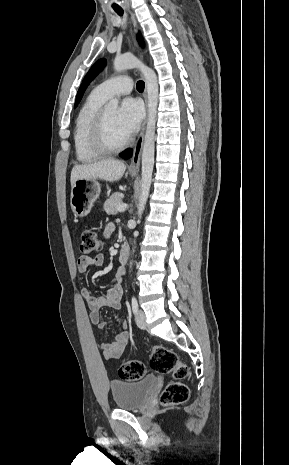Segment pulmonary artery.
<instances>
[{
  "mask_svg": "<svg viewBox=\"0 0 289 465\" xmlns=\"http://www.w3.org/2000/svg\"><path fill=\"white\" fill-rule=\"evenodd\" d=\"M133 89V80L131 77L121 75L110 78L96 88L98 93L104 98L109 99L115 95L128 94Z\"/></svg>",
  "mask_w": 289,
  "mask_h": 465,
  "instance_id": "e3ab8cb5",
  "label": "pulmonary artery"
}]
</instances>
